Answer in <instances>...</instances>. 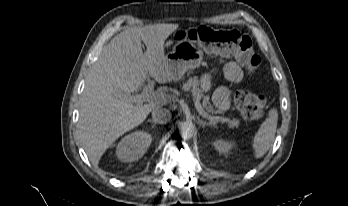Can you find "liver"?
Listing matches in <instances>:
<instances>
[{"label":"liver","instance_id":"1","mask_svg":"<svg viewBox=\"0 0 348 206\" xmlns=\"http://www.w3.org/2000/svg\"><path fill=\"white\" fill-rule=\"evenodd\" d=\"M178 24L128 28L104 47L89 73L79 114L83 147L93 165L123 134L140 125L166 101L134 104L125 98L138 90L148 76L158 83L171 82L165 66L164 42ZM146 45L143 53L141 42Z\"/></svg>","mask_w":348,"mask_h":206}]
</instances>
